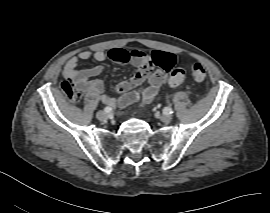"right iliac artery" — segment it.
I'll return each mask as SVG.
<instances>
[{
	"instance_id": "obj_1",
	"label": "right iliac artery",
	"mask_w": 270,
	"mask_h": 213,
	"mask_svg": "<svg viewBox=\"0 0 270 213\" xmlns=\"http://www.w3.org/2000/svg\"><path fill=\"white\" fill-rule=\"evenodd\" d=\"M104 111H105L106 113H110V112L112 111V108H111L110 106H106V107L104 108Z\"/></svg>"
}]
</instances>
